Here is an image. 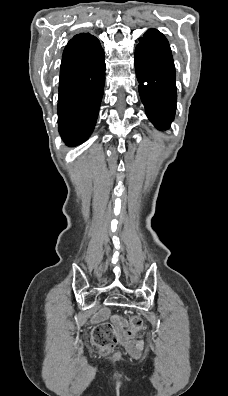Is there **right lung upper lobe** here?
<instances>
[{
  "instance_id": "right-lung-upper-lobe-1",
  "label": "right lung upper lobe",
  "mask_w": 228,
  "mask_h": 396,
  "mask_svg": "<svg viewBox=\"0 0 228 396\" xmlns=\"http://www.w3.org/2000/svg\"><path fill=\"white\" fill-rule=\"evenodd\" d=\"M77 44L81 45L80 48H93L98 41L97 38L89 33H81L74 38Z\"/></svg>"
}]
</instances>
